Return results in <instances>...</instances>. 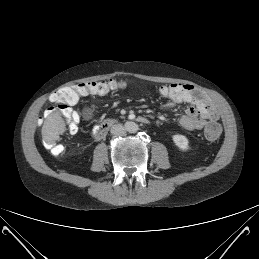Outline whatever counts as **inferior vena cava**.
Instances as JSON below:
<instances>
[{
	"mask_svg": "<svg viewBox=\"0 0 259 259\" xmlns=\"http://www.w3.org/2000/svg\"><path fill=\"white\" fill-rule=\"evenodd\" d=\"M110 132L112 135H124L126 133V129L122 124H115L111 127Z\"/></svg>",
	"mask_w": 259,
	"mask_h": 259,
	"instance_id": "obj_1",
	"label": "inferior vena cava"
}]
</instances>
